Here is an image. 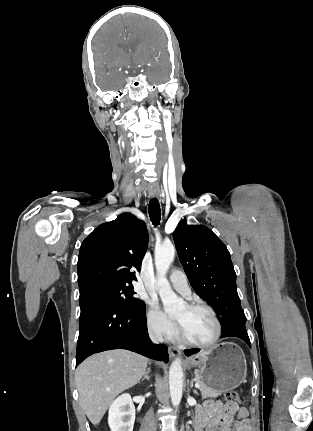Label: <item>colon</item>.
<instances>
[{"label": "colon", "instance_id": "obj_1", "mask_svg": "<svg viewBox=\"0 0 313 431\" xmlns=\"http://www.w3.org/2000/svg\"><path fill=\"white\" fill-rule=\"evenodd\" d=\"M227 405H238L240 402L239 394L236 391H229L225 394Z\"/></svg>", "mask_w": 313, "mask_h": 431}]
</instances>
